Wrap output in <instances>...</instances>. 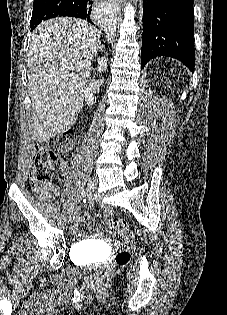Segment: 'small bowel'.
<instances>
[{
    "label": "small bowel",
    "instance_id": "c3829d8e",
    "mask_svg": "<svg viewBox=\"0 0 227 315\" xmlns=\"http://www.w3.org/2000/svg\"><path fill=\"white\" fill-rule=\"evenodd\" d=\"M59 172L63 176H69L70 175V165L67 162H61L59 165ZM34 191L36 195L41 199V200H47L51 197V194H57L58 190L52 186H49L48 189H36L34 188ZM109 212V211H108ZM90 220V216L88 213H83L81 216V221L82 222H87ZM80 223L77 222L72 226V232L76 233L78 230Z\"/></svg>",
    "mask_w": 227,
    "mask_h": 315
}]
</instances>
